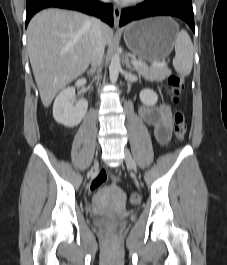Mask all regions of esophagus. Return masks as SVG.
<instances>
[{"label": "esophagus", "instance_id": "1", "mask_svg": "<svg viewBox=\"0 0 227 265\" xmlns=\"http://www.w3.org/2000/svg\"><path fill=\"white\" fill-rule=\"evenodd\" d=\"M120 15H121L120 8L117 6H114V25H115V27L119 26Z\"/></svg>", "mask_w": 227, "mask_h": 265}]
</instances>
